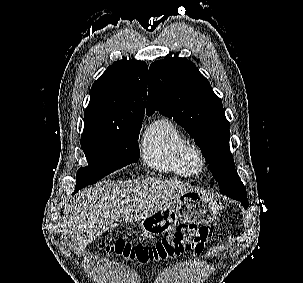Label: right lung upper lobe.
I'll return each instance as SVG.
<instances>
[{"label": "right lung upper lobe", "mask_w": 303, "mask_h": 283, "mask_svg": "<svg viewBox=\"0 0 303 283\" xmlns=\"http://www.w3.org/2000/svg\"><path fill=\"white\" fill-rule=\"evenodd\" d=\"M147 65L137 60L114 62L92 85L84 128H106L142 121L147 95Z\"/></svg>", "instance_id": "1"}]
</instances>
